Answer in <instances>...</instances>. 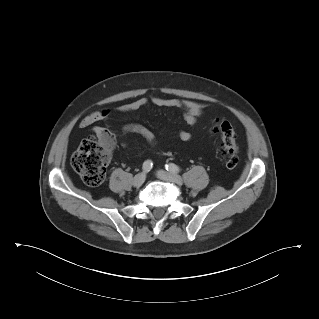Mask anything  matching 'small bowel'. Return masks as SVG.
<instances>
[{"label": "small bowel", "instance_id": "small-bowel-1", "mask_svg": "<svg viewBox=\"0 0 319 319\" xmlns=\"http://www.w3.org/2000/svg\"><path fill=\"white\" fill-rule=\"evenodd\" d=\"M151 104L158 107L181 109L186 123L191 127L197 126L199 118L201 117L205 109L204 104L192 100H180L175 98L152 96L149 98H138L127 104L119 106L117 110L122 113H130ZM110 115L111 110L109 108L97 110L86 115L81 120L80 125L82 127H88L97 122H106L109 119ZM129 130L141 135L150 146H155L157 144V136L155 132L147 126H144L142 124H134L129 127ZM91 131L97 138H104L105 136H112L113 134L111 130L101 126H93L91 128ZM178 136L184 142L190 141L193 137L192 133L186 129L179 130Z\"/></svg>", "mask_w": 319, "mask_h": 319}]
</instances>
